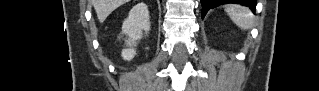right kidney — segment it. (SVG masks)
<instances>
[{"label": "right kidney", "instance_id": "1", "mask_svg": "<svg viewBox=\"0 0 319 91\" xmlns=\"http://www.w3.org/2000/svg\"><path fill=\"white\" fill-rule=\"evenodd\" d=\"M122 29L129 36V39L126 40L127 48L122 50L121 56L124 60H131L136 54L133 48L136 45V40L141 39L143 30L146 33L150 30L149 11L146 4L139 3L131 9Z\"/></svg>", "mask_w": 319, "mask_h": 91}]
</instances>
